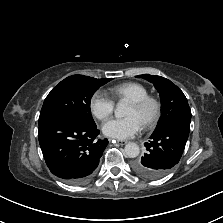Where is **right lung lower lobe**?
<instances>
[{
  "label": "right lung lower lobe",
  "instance_id": "98d812e1",
  "mask_svg": "<svg viewBox=\"0 0 223 223\" xmlns=\"http://www.w3.org/2000/svg\"><path fill=\"white\" fill-rule=\"evenodd\" d=\"M98 134L96 124L70 116L39 124V144L50 171L71 184L87 181L108 144L107 139H96Z\"/></svg>",
  "mask_w": 223,
  "mask_h": 223
}]
</instances>
